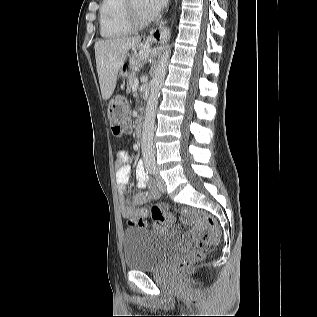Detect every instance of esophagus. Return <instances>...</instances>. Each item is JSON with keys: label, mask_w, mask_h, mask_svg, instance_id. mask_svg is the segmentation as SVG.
<instances>
[{"label": "esophagus", "mask_w": 317, "mask_h": 317, "mask_svg": "<svg viewBox=\"0 0 317 317\" xmlns=\"http://www.w3.org/2000/svg\"><path fill=\"white\" fill-rule=\"evenodd\" d=\"M167 36V31L164 24H161L158 28L152 29L147 37V41L162 42Z\"/></svg>", "instance_id": "1"}]
</instances>
